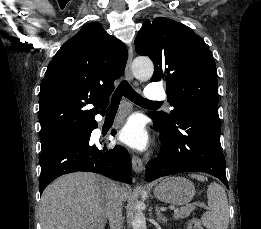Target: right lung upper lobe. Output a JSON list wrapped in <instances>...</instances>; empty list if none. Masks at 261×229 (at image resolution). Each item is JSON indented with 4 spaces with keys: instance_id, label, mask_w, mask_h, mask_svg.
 Here are the masks:
<instances>
[{
    "instance_id": "right-lung-upper-lobe-1",
    "label": "right lung upper lobe",
    "mask_w": 261,
    "mask_h": 229,
    "mask_svg": "<svg viewBox=\"0 0 261 229\" xmlns=\"http://www.w3.org/2000/svg\"><path fill=\"white\" fill-rule=\"evenodd\" d=\"M128 51L98 22L85 25L50 62L39 94L40 134L54 133L53 145L87 131L104 113L113 82L124 72ZM92 104L93 109L86 105Z\"/></svg>"
}]
</instances>
